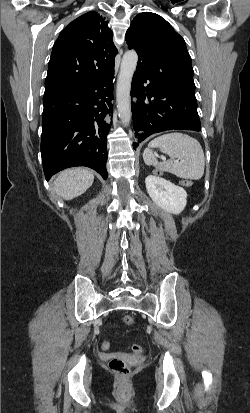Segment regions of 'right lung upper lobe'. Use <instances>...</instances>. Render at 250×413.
I'll return each instance as SVG.
<instances>
[{"label": "right lung upper lobe", "instance_id": "cb5924a9", "mask_svg": "<svg viewBox=\"0 0 250 413\" xmlns=\"http://www.w3.org/2000/svg\"><path fill=\"white\" fill-rule=\"evenodd\" d=\"M117 49L112 31L97 12L72 21L54 43L45 95L85 87L113 71Z\"/></svg>", "mask_w": 250, "mask_h": 413}]
</instances>
